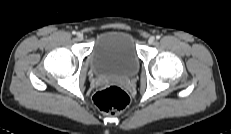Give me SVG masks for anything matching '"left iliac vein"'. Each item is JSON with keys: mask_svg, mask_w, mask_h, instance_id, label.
Wrapping results in <instances>:
<instances>
[{"mask_svg": "<svg viewBox=\"0 0 231 134\" xmlns=\"http://www.w3.org/2000/svg\"><path fill=\"white\" fill-rule=\"evenodd\" d=\"M154 41H155V38L153 36L149 37V39H148L149 44H153Z\"/></svg>", "mask_w": 231, "mask_h": 134, "instance_id": "4c4485c4", "label": "left iliac vein"}]
</instances>
